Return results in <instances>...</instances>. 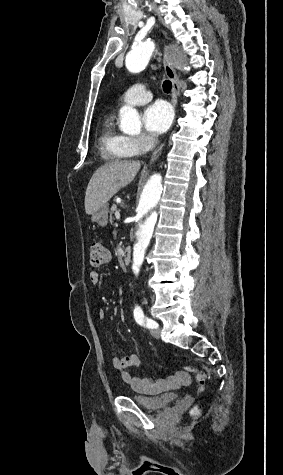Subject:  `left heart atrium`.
I'll use <instances>...</instances> for the list:
<instances>
[{
	"instance_id": "obj_1",
	"label": "left heart atrium",
	"mask_w": 283,
	"mask_h": 475,
	"mask_svg": "<svg viewBox=\"0 0 283 475\" xmlns=\"http://www.w3.org/2000/svg\"><path fill=\"white\" fill-rule=\"evenodd\" d=\"M174 121L172 106L163 100H158L149 105L143 114L145 129L152 135L158 136L166 133Z\"/></svg>"
}]
</instances>
